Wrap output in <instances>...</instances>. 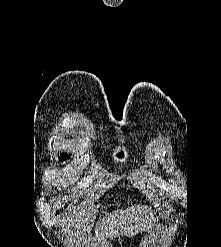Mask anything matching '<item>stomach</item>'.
I'll return each instance as SVG.
<instances>
[{
    "label": "stomach",
    "instance_id": "0dacf381",
    "mask_svg": "<svg viewBox=\"0 0 221 247\" xmlns=\"http://www.w3.org/2000/svg\"><path fill=\"white\" fill-rule=\"evenodd\" d=\"M133 236H134V233L129 234V237H132L133 238Z\"/></svg>",
    "mask_w": 221,
    "mask_h": 247
}]
</instances>
